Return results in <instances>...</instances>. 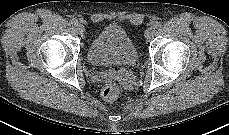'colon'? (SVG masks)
Instances as JSON below:
<instances>
[{"label": "colon", "instance_id": "5ec220e1", "mask_svg": "<svg viewBox=\"0 0 229 135\" xmlns=\"http://www.w3.org/2000/svg\"><path fill=\"white\" fill-rule=\"evenodd\" d=\"M119 94V87L116 84H108L101 90V98L106 102L114 101Z\"/></svg>", "mask_w": 229, "mask_h": 135}]
</instances>
